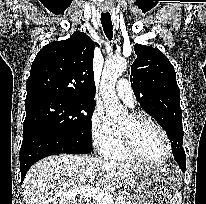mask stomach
<instances>
[{
  "label": "stomach",
  "instance_id": "obj_1",
  "mask_svg": "<svg viewBox=\"0 0 206 204\" xmlns=\"http://www.w3.org/2000/svg\"><path fill=\"white\" fill-rule=\"evenodd\" d=\"M181 185L178 169L170 164L145 167L126 186L132 204H171Z\"/></svg>",
  "mask_w": 206,
  "mask_h": 204
}]
</instances>
